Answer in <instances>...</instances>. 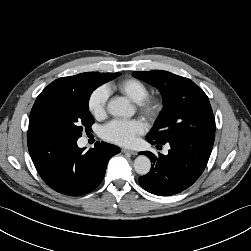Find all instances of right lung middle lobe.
<instances>
[{"label":"right lung middle lobe","instance_id":"1","mask_svg":"<svg viewBox=\"0 0 251 251\" xmlns=\"http://www.w3.org/2000/svg\"><path fill=\"white\" fill-rule=\"evenodd\" d=\"M120 73H82L71 88H45L31 110L29 130L78 139L91 130L94 118L88 110L91 93Z\"/></svg>","mask_w":251,"mask_h":251}]
</instances>
